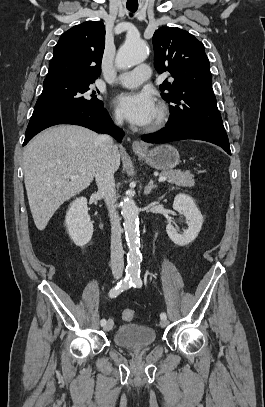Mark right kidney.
Instances as JSON below:
<instances>
[{"label":"right kidney","mask_w":265,"mask_h":407,"mask_svg":"<svg viewBox=\"0 0 265 407\" xmlns=\"http://www.w3.org/2000/svg\"><path fill=\"white\" fill-rule=\"evenodd\" d=\"M65 224L68 234L76 246H85L92 238L93 224L88 214L87 199L74 200L66 213Z\"/></svg>","instance_id":"1"}]
</instances>
